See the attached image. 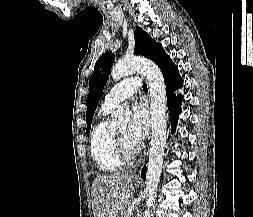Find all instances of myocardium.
Wrapping results in <instances>:
<instances>
[{"label":"myocardium","instance_id":"f54148a6","mask_svg":"<svg viewBox=\"0 0 253 217\" xmlns=\"http://www.w3.org/2000/svg\"><path fill=\"white\" fill-rule=\"evenodd\" d=\"M113 136H114L115 151L117 152L119 157L124 161L132 160L136 156L139 147L134 146V145H130L116 131H113Z\"/></svg>","mask_w":253,"mask_h":217}]
</instances>
